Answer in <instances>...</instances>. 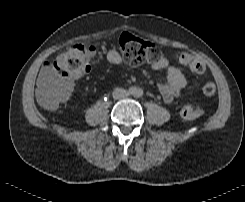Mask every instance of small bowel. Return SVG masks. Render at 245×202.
<instances>
[{
  "mask_svg": "<svg viewBox=\"0 0 245 202\" xmlns=\"http://www.w3.org/2000/svg\"><path fill=\"white\" fill-rule=\"evenodd\" d=\"M106 60L113 65H118L122 62V57L119 51L109 49L105 53ZM155 70L164 71L166 80L158 84V89L166 103H171L175 97L179 96L187 85V78L183 70L171 65L167 58L162 57L159 61L153 63ZM55 83H60L61 87L69 92V95L74 89V82L67 77H57L49 67H44L38 78L37 88L43 89L47 86H52Z\"/></svg>",
  "mask_w": 245,
  "mask_h": 202,
  "instance_id": "1",
  "label": "small bowel"
}]
</instances>
